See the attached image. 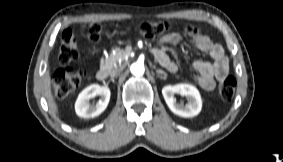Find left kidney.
I'll return each instance as SVG.
<instances>
[{"label": "left kidney", "mask_w": 283, "mask_h": 162, "mask_svg": "<svg viewBox=\"0 0 283 162\" xmlns=\"http://www.w3.org/2000/svg\"><path fill=\"white\" fill-rule=\"evenodd\" d=\"M162 94L169 109L176 115L189 118L198 115L202 108V100L199 91L191 84L167 85L162 88ZM174 94H180L187 98L185 105L179 104Z\"/></svg>", "instance_id": "1"}]
</instances>
